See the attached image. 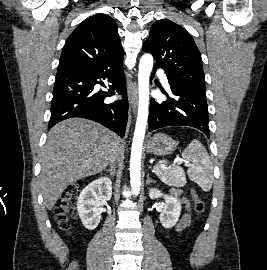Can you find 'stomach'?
<instances>
[{
	"mask_svg": "<svg viewBox=\"0 0 267 270\" xmlns=\"http://www.w3.org/2000/svg\"><path fill=\"white\" fill-rule=\"evenodd\" d=\"M176 146V141L170 136L157 133L147 141L146 149L149 153L162 156L173 153Z\"/></svg>",
	"mask_w": 267,
	"mask_h": 270,
	"instance_id": "1",
	"label": "stomach"
}]
</instances>
